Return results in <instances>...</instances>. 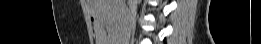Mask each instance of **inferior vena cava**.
Masks as SVG:
<instances>
[{
    "mask_svg": "<svg viewBox=\"0 0 261 44\" xmlns=\"http://www.w3.org/2000/svg\"><path fill=\"white\" fill-rule=\"evenodd\" d=\"M135 13H136V9L134 7H131L130 10H129V15H128L131 23L134 22Z\"/></svg>",
    "mask_w": 261,
    "mask_h": 44,
    "instance_id": "inferior-vena-cava-1",
    "label": "inferior vena cava"
}]
</instances>
